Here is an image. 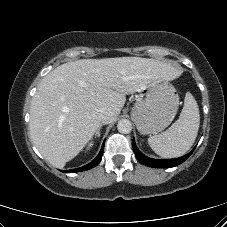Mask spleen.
<instances>
[{
  "instance_id": "spleen-1",
  "label": "spleen",
  "mask_w": 227,
  "mask_h": 227,
  "mask_svg": "<svg viewBox=\"0 0 227 227\" xmlns=\"http://www.w3.org/2000/svg\"><path fill=\"white\" fill-rule=\"evenodd\" d=\"M200 124L199 108L191 93L184 99V107L177 121L159 135L148 138L152 150L164 158L184 155L196 140Z\"/></svg>"
}]
</instances>
